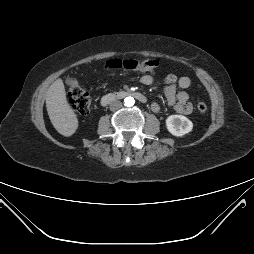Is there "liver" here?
I'll return each instance as SVG.
<instances>
[{
    "instance_id": "obj_1",
    "label": "liver",
    "mask_w": 254,
    "mask_h": 254,
    "mask_svg": "<svg viewBox=\"0 0 254 254\" xmlns=\"http://www.w3.org/2000/svg\"><path fill=\"white\" fill-rule=\"evenodd\" d=\"M46 108L54 128L63 136L73 135L78 128V119L67 102L62 79L54 81L46 92Z\"/></svg>"
}]
</instances>
